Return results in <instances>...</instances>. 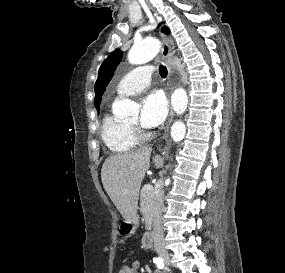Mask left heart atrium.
Here are the masks:
<instances>
[{"label":"left heart atrium","mask_w":285,"mask_h":273,"mask_svg":"<svg viewBox=\"0 0 285 273\" xmlns=\"http://www.w3.org/2000/svg\"><path fill=\"white\" fill-rule=\"evenodd\" d=\"M167 100L159 90L151 91L141 101L140 123L144 128L153 129L166 118Z\"/></svg>","instance_id":"left-heart-atrium-1"}]
</instances>
